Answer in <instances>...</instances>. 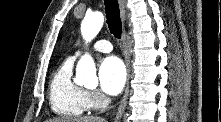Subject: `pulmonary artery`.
<instances>
[{
    "label": "pulmonary artery",
    "mask_w": 221,
    "mask_h": 122,
    "mask_svg": "<svg viewBox=\"0 0 221 122\" xmlns=\"http://www.w3.org/2000/svg\"><path fill=\"white\" fill-rule=\"evenodd\" d=\"M93 50L108 53L112 51V44L107 40H99L93 45ZM80 54L81 51H76L72 58L75 59L80 56Z\"/></svg>",
    "instance_id": "obj_1"
}]
</instances>
